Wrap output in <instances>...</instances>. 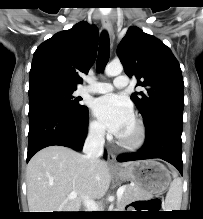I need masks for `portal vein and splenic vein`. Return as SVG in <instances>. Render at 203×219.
Instances as JSON below:
<instances>
[{"label":"portal vein and splenic vein","mask_w":203,"mask_h":219,"mask_svg":"<svg viewBox=\"0 0 203 219\" xmlns=\"http://www.w3.org/2000/svg\"><path fill=\"white\" fill-rule=\"evenodd\" d=\"M124 191H125L124 186L119 187V189L117 190L116 195H117V200L118 201L121 200ZM76 197H77L76 192H72L68 195V199H75ZM84 204L90 210L97 211V209H98L97 204L93 200L89 199L88 197L84 198Z\"/></svg>","instance_id":"1"}]
</instances>
